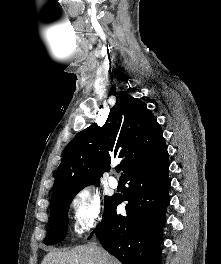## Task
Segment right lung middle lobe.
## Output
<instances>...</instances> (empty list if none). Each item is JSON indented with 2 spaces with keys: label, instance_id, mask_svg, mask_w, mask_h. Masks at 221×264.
Instances as JSON below:
<instances>
[{
  "label": "right lung middle lobe",
  "instance_id": "right-lung-middle-lobe-1",
  "mask_svg": "<svg viewBox=\"0 0 221 264\" xmlns=\"http://www.w3.org/2000/svg\"><path fill=\"white\" fill-rule=\"evenodd\" d=\"M77 193L64 195L51 203L50 207V219H49V230L45 237V244H55L62 241L66 236L68 228V210L72 199ZM114 200V196L105 197V211L111 206Z\"/></svg>",
  "mask_w": 221,
  "mask_h": 264
}]
</instances>
